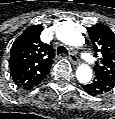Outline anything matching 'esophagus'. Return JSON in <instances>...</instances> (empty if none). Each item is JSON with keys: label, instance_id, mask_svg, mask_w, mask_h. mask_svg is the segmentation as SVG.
Instances as JSON below:
<instances>
[{"label": "esophagus", "instance_id": "34e87169", "mask_svg": "<svg viewBox=\"0 0 115 119\" xmlns=\"http://www.w3.org/2000/svg\"><path fill=\"white\" fill-rule=\"evenodd\" d=\"M69 59H70V61H71L74 65L79 64V59H78L76 53L71 52V53L69 54Z\"/></svg>", "mask_w": 115, "mask_h": 119}]
</instances>
